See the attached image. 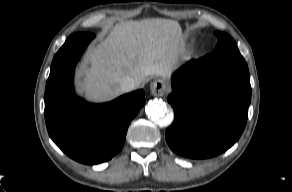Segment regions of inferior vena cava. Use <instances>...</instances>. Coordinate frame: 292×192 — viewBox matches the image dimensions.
<instances>
[{
	"label": "inferior vena cava",
	"instance_id": "obj_1",
	"mask_svg": "<svg viewBox=\"0 0 292 192\" xmlns=\"http://www.w3.org/2000/svg\"><path fill=\"white\" fill-rule=\"evenodd\" d=\"M121 88L124 92L132 91L135 87V80L132 77H125L121 82Z\"/></svg>",
	"mask_w": 292,
	"mask_h": 192
}]
</instances>
